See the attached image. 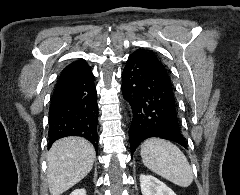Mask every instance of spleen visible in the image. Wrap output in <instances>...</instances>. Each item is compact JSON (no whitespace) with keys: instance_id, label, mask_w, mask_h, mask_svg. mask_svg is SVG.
Returning a JSON list of instances; mask_svg holds the SVG:
<instances>
[{"instance_id":"obj_1","label":"spleen","mask_w":240,"mask_h":195,"mask_svg":"<svg viewBox=\"0 0 240 195\" xmlns=\"http://www.w3.org/2000/svg\"><path fill=\"white\" fill-rule=\"evenodd\" d=\"M140 155L146 167L173 181L181 187H188L193 181L192 167L183 151L168 139L150 137L141 145Z\"/></svg>"}]
</instances>
